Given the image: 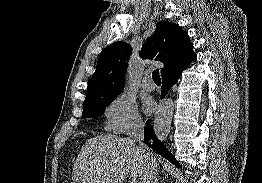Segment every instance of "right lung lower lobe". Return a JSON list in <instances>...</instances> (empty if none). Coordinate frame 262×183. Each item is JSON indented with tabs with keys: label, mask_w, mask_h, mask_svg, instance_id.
Segmentation results:
<instances>
[{
	"label": "right lung lower lobe",
	"mask_w": 262,
	"mask_h": 183,
	"mask_svg": "<svg viewBox=\"0 0 262 183\" xmlns=\"http://www.w3.org/2000/svg\"><path fill=\"white\" fill-rule=\"evenodd\" d=\"M182 71L162 77L163 85H162L161 99L166 96L168 90L177 82V80L182 74ZM150 122L151 120L149 119L146 122V126L144 128V142L150 148L155 150L159 155L169 160L174 165L179 166V162L166 149L164 144L156 137L153 127L149 124Z\"/></svg>",
	"instance_id": "98d812e1"
}]
</instances>
